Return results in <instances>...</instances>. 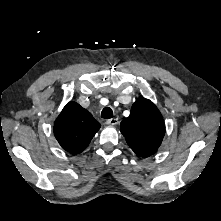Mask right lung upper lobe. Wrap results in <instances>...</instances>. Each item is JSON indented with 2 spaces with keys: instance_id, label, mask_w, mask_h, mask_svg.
Wrapping results in <instances>:
<instances>
[{
  "instance_id": "right-lung-upper-lobe-1",
  "label": "right lung upper lobe",
  "mask_w": 221,
  "mask_h": 221,
  "mask_svg": "<svg viewBox=\"0 0 221 221\" xmlns=\"http://www.w3.org/2000/svg\"><path fill=\"white\" fill-rule=\"evenodd\" d=\"M101 127L90 112L76 102H69L54 123V134L61 147L79 154Z\"/></svg>"
}]
</instances>
